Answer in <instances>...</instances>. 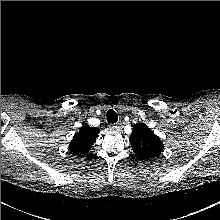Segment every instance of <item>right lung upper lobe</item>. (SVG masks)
Instances as JSON below:
<instances>
[{"label":"right lung upper lobe","instance_id":"1","mask_svg":"<svg viewBox=\"0 0 220 220\" xmlns=\"http://www.w3.org/2000/svg\"><path fill=\"white\" fill-rule=\"evenodd\" d=\"M99 129L84 125L70 142L69 150L76 156L86 155L99 134Z\"/></svg>","mask_w":220,"mask_h":220}]
</instances>
